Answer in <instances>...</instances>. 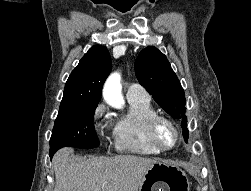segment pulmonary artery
Returning a JSON list of instances; mask_svg holds the SVG:
<instances>
[{
	"label": "pulmonary artery",
	"mask_w": 251,
	"mask_h": 191,
	"mask_svg": "<svg viewBox=\"0 0 251 191\" xmlns=\"http://www.w3.org/2000/svg\"><path fill=\"white\" fill-rule=\"evenodd\" d=\"M126 97L127 99L141 98L144 97V93L140 89H138L136 85L132 84L127 87ZM145 97L147 99H150L152 102L151 96L146 95Z\"/></svg>",
	"instance_id": "obj_1"
}]
</instances>
